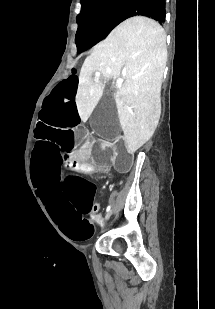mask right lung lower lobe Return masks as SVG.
Here are the masks:
<instances>
[{
    "label": "right lung lower lobe",
    "instance_id": "1",
    "mask_svg": "<svg viewBox=\"0 0 215 309\" xmlns=\"http://www.w3.org/2000/svg\"><path fill=\"white\" fill-rule=\"evenodd\" d=\"M165 15V0H131L115 22V27L133 16H146L163 23Z\"/></svg>",
    "mask_w": 215,
    "mask_h": 309
}]
</instances>
